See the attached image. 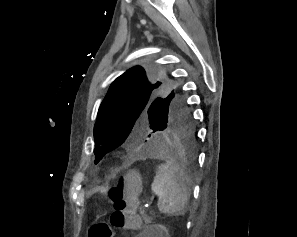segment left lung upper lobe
<instances>
[{
  "label": "left lung upper lobe",
  "instance_id": "1",
  "mask_svg": "<svg viewBox=\"0 0 297 237\" xmlns=\"http://www.w3.org/2000/svg\"><path fill=\"white\" fill-rule=\"evenodd\" d=\"M178 105H187L183 92L165 70L140 66L127 70L111 84L99 107L94 163L115 149L127 157H140Z\"/></svg>",
  "mask_w": 297,
  "mask_h": 237
}]
</instances>
